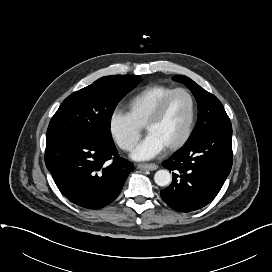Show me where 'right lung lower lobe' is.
<instances>
[{
	"label": "right lung lower lobe",
	"mask_w": 272,
	"mask_h": 272,
	"mask_svg": "<svg viewBox=\"0 0 272 272\" xmlns=\"http://www.w3.org/2000/svg\"><path fill=\"white\" fill-rule=\"evenodd\" d=\"M113 162L108 165V160ZM45 163L60 192L72 203L99 209L121 192L133 164L117 155L114 144L90 134L46 143Z\"/></svg>",
	"instance_id": "1"
}]
</instances>
